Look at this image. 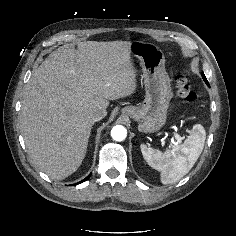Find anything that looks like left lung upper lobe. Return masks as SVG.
<instances>
[{"label": "left lung upper lobe", "mask_w": 236, "mask_h": 236, "mask_svg": "<svg viewBox=\"0 0 236 236\" xmlns=\"http://www.w3.org/2000/svg\"><path fill=\"white\" fill-rule=\"evenodd\" d=\"M202 77H203V79H204L205 83H206V84L209 86V83H208V81H207V79H206V77H205L204 73H202Z\"/></svg>", "instance_id": "left-lung-upper-lobe-1"}]
</instances>
